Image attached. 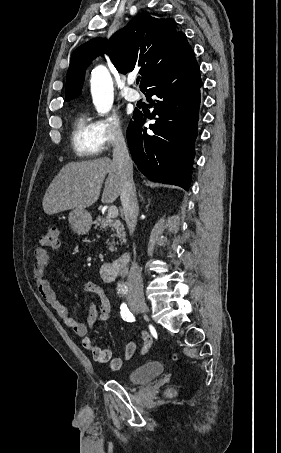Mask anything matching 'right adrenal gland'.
<instances>
[{
    "mask_svg": "<svg viewBox=\"0 0 281 453\" xmlns=\"http://www.w3.org/2000/svg\"><path fill=\"white\" fill-rule=\"evenodd\" d=\"M139 196H141L140 192H139ZM141 200H143V196H141Z\"/></svg>",
    "mask_w": 281,
    "mask_h": 453,
    "instance_id": "1",
    "label": "right adrenal gland"
}]
</instances>
